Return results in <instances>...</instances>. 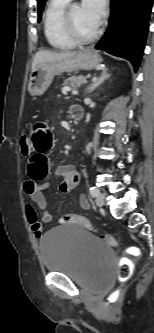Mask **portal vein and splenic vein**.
<instances>
[{"label": "portal vein and splenic vein", "instance_id": "18ae733b", "mask_svg": "<svg viewBox=\"0 0 154 333\" xmlns=\"http://www.w3.org/2000/svg\"><path fill=\"white\" fill-rule=\"evenodd\" d=\"M71 89L68 87L63 88V92L70 91ZM73 93H77L75 90H72Z\"/></svg>", "mask_w": 154, "mask_h": 333}]
</instances>
